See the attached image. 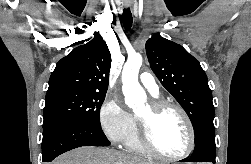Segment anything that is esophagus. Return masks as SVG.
<instances>
[{"label": "esophagus", "instance_id": "esophagus-1", "mask_svg": "<svg viewBox=\"0 0 251 164\" xmlns=\"http://www.w3.org/2000/svg\"><path fill=\"white\" fill-rule=\"evenodd\" d=\"M124 5L126 8H128L130 6V2L128 0H126Z\"/></svg>", "mask_w": 251, "mask_h": 164}]
</instances>
